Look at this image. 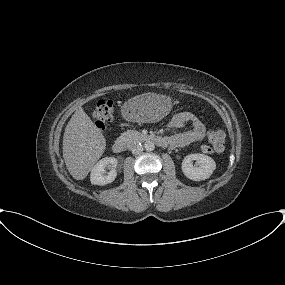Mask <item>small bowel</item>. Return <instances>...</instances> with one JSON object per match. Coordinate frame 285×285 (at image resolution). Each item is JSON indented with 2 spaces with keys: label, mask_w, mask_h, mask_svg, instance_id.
<instances>
[{
  "label": "small bowel",
  "mask_w": 285,
  "mask_h": 285,
  "mask_svg": "<svg viewBox=\"0 0 285 285\" xmlns=\"http://www.w3.org/2000/svg\"><path fill=\"white\" fill-rule=\"evenodd\" d=\"M190 123L192 129L168 138L169 147L183 148L192 143L202 141L206 136V128L202 121L192 112L182 111L174 114L168 121L170 128L180 129Z\"/></svg>",
  "instance_id": "small-bowel-1"
}]
</instances>
